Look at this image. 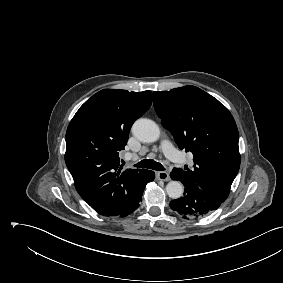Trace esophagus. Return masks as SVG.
Segmentation results:
<instances>
[{
    "label": "esophagus",
    "mask_w": 283,
    "mask_h": 283,
    "mask_svg": "<svg viewBox=\"0 0 283 283\" xmlns=\"http://www.w3.org/2000/svg\"><path fill=\"white\" fill-rule=\"evenodd\" d=\"M157 178L159 180H162V181H169L170 180L169 173L166 172V171H159V172H157Z\"/></svg>",
    "instance_id": "34e87169"
}]
</instances>
